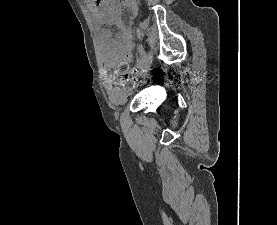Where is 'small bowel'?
I'll list each match as a JSON object with an SVG mask.
<instances>
[{
	"label": "small bowel",
	"instance_id": "1",
	"mask_svg": "<svg viewBox=\"0 0 277 225\" xmlns=\"http://www.w3.org/2000/svg\"><path fill=\"white\" fill-rule=\"evenodd\" d=\"M119 1L131 18L136 16L138 0ZM89 7L93 24L98 30V41L105 62L104 87L113 102H120L124 99L126 91L116 84L112 71L120 62L132 60L130 53L132 30L121 19L120 7L114 0H97L96 3H90ZM103 25L106 27L102 28ZM110 26L115 27V32Z\"/></svg>",
	"mask_w": 277,
	"mask_h": 225
}]
</instances>
